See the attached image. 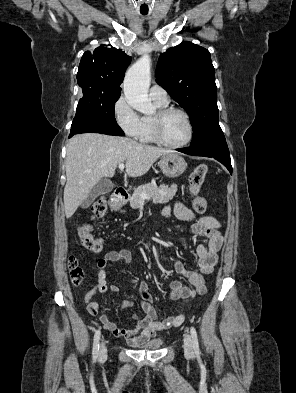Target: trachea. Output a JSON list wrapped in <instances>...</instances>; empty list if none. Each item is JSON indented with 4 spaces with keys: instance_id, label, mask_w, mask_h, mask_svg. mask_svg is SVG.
<instances>
[{
    "instance_id": "1",
    "label": "trachea",
    "mask_w": 296,
    "mask_h": 393,
    "mask_svg": "<svg viewBox=\"0 0 296 393\" xmlns=\"http://www.w3.org/2000/svg\"><path fill=\"white\" fill-rule=\"evenodd\" d=\"M142 15H147V13H142Z\"/></svg>"
}]
</instances>
